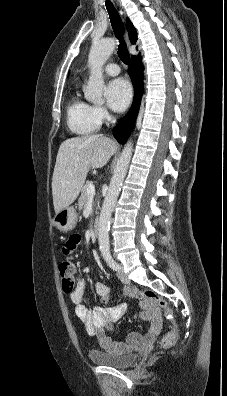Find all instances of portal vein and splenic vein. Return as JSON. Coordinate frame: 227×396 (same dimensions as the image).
Instances as JSON below:
<instances>
[{
	"label": "portal vein and splenic vein",
	"instance_id": "18ae733b",
	"mask_svg": "<svg viewBox=\"0 0 227 396\" xmlns=\"http://www.w3.org/2000/svg\"><path fill=\"white\" fill-rule=\"evenodd\" d=\"M87 193H88V195L91 196V197H93V196L95 195V187H94V185H90V186L87 188Z\"/></svg>",
	"mask_w": 227,
	"mask_h": 396
}]
</instances>
